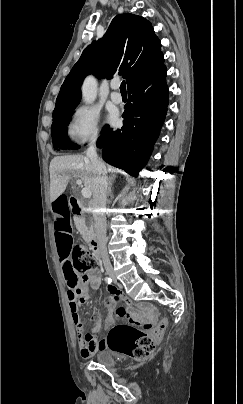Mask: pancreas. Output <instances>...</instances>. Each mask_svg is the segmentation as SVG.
<instances>
[{
    "label": "pancreas",
    "mask_w": 243,
    "mask_h": 404,
    "mask_svg": "<svg viewBox=\"0 0 243 404\" xmlns=\"http://www.w3.org/2000/svg\"><path fill=\"white\" fill-rule=\"evenodd\" d=\"M75 226L78 230V232H80L83 240H85V242H90V240H92L93 238V230L92 228H90V230H88V228H86L83 220H80V218H77V220H75Z\"/></svg>",
    "instance_id": "cf45deb5"
}]
</instances>
